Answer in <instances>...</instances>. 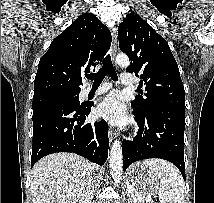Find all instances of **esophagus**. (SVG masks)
I'll return each instance as SVG.
<instances>
[{"label":"esophagus","instance_id":"1","mask_svg":"<svg viewBox=\"0 0 214 203\" xmlns=\"http://www.w3.org/2000/svg\"><path fill=\"white\" fill-rule=\"evenodd\" d=\"M111 35H112V44H111V56L112 60L115 59L116 54H117V34H116V28H112L111 30ZM115 136V132L112 128L109 129V140L110 142L113 141Z\"/></svg>","mask_w":214,"mask_h":203}]
</instances>
